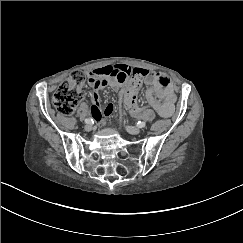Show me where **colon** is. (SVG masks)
<instances>
[{
    "label": "colon",
    "instance_id": "5ec220e1",
    "mask_svg": "<svg viewBox=\"0 0 243 243\" xmlns=\"http://www.w3.org/2000/svg\"><path fill=\"white\" fill-rule=\"evenodd\" d=\"M144 72L134 71L126 87L121 91L124 108L132 115H137L142 108L137 102V91L144 79ZM86 75L81 71L73 72L69 79L62 82L55 91L52 104L61 115H71L77 104L85 97L83 84Z\"/></svg>",
    "mask_w": 243,
    "mask_h": 243
}]
</instances>
